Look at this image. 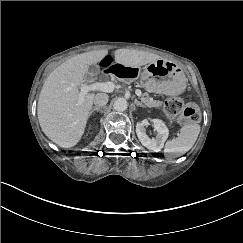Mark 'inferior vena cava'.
Wrapping results in <instances>:
<instances>
[{
	"mask_svg": "<svg viewBox=\"0 0 243 243\" xmlns=\"http://www.w3.org/2000/svg\"><path fill=\"white\" fill-rule=\"evenodd\" d=\"M109 96L105 93H98L94 97V104L98 107L104 106L107 104Z\"/></svg>",
	"mask_w": 243,
	"mask_h": 243,
	"instance_id": "obj_1",
	"label": "inferior vena cava"
}]
</instances>
